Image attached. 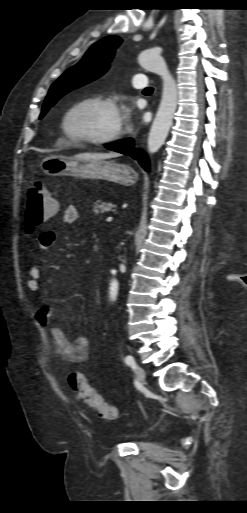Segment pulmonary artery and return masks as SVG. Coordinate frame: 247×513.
Returning <instances> with one entry per match:
<instances>
[{"label": "pulmonary artery", "instance_id": "1", "mask_svg": "<svg viewBox=\"0 0 247 513\" xmlns=\"http://www.w3.org/2000/svg\"><path fill=\"white\" fill-rule=\"evenodd\" d=\"M132 83L137 89H143L148 86L147 77L144 74H135Z\"/></svg>", "mask_w": 247, "mask_h": 513}]
</instances>
